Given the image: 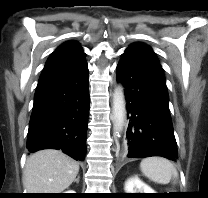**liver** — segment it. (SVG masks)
<instances>
[{"instance_id": "liver-1", "label": "liver", "mask_w": 208, "mask_h": 198, "mask_svg": "<svg viewBox=\"0 0 208 198\" xmlns=\"http://www.w3.org/2000/svg\"><path fill=\"white\" fill-rule=\"evenodd\" d=\"M78 172L79 164L61 151L41 150L27 159L23 186L28 193H61Z\"/></svg>"}]
</instances>
